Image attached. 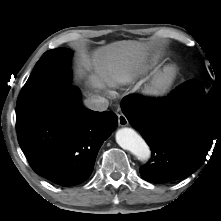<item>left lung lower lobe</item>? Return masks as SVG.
<instances>
[{"instance_id": "left-lung-lower-lobe-1", "label": "left lung lower lobe", "mask_w": 221, "mask_h": 221, "mask_svg": "<svg viewBox=\"0 0 221 221\" xmlns=\"http://www.w3.org/2000/svg\"><path fill=\"white\" fill-rule=\"evenodd\" d=\"M201 82L189 80L168 98L125 97L121 109L152 150L153 162L140 168L149 182L166 183L194 173L205 161L213 141L221 140V108L193 107L174 101L176 93L195 90Z\"/></svg>"}]
</instances>
